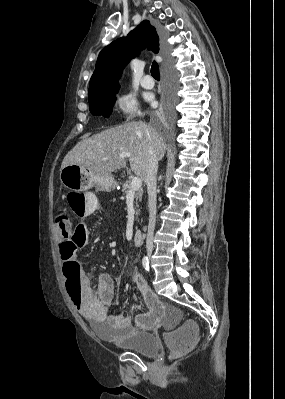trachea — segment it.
<instances>
[{
  "label": "trachea",
  "mask_w": 285,
  "mask_h": 399,
  "mask_svg": "<svg viewBox=\"0 0 285 399\" xmlns=\"http://www.w3.org/2000/svg\"><path fill=\"white\" fill-rule=\"evenodd\" d=\"M151 75L154 79H160L159 66L155 61L151 66Z\"/></svg>",
  "instance_id": "3493384b"
}]
</instances>
